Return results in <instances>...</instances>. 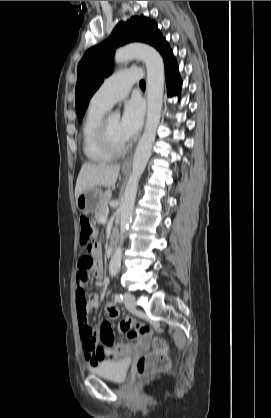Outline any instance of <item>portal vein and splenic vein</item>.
<instances>
[{"instance_id":"portal-vein-and-splenic-vein-1","label":"portal vein and splenic vein","mask_w":271,"mask_h":418,"mask_svg":"<svg viewBox=\"0 0 271 418\" xmlns=\"http://www.w3.org/2000/svg\"><path fill=\"white\" fill-rule=\"evenodd\" d=\"M107 216H108L107 213L105 215H103L100 219V222L105 223L107 221Z\"/></svg>"}]
</instances>
